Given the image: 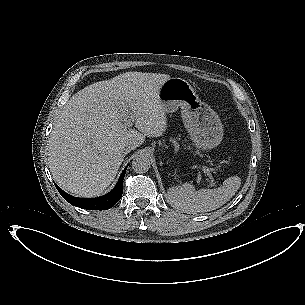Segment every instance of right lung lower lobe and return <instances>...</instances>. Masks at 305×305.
<instances>
[{
    "instance_id": "98d812e1",
    "label": "right lung lower lobe",
    "mask_w": 305,
    "mask_h": 305,
    "mask_svg": "<svg viewBox=\"0 0 305 305\" xmlns=\"http://www.w3.org/2000/svg\"><path fill=\"white\" fill-rule=\"evenodd\" d=\"M127 167L123 170L122 174L119 177V180L112 191L108 194L98 197V198H77L71 196L60 189L57 185L56 188L58 189L59 193L62 197L69 202L70 204L88 210H107L111 208L114 204H116L120 198L122 197L123 193V179L126 173Z\"/></svg>"
}]
</instances>
